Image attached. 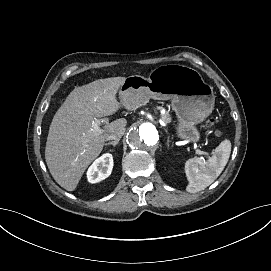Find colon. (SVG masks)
Masks as SVG:
<instances>
[{"label": "colon", "instance_id": "1", "mask_svg": "<svg viewBox=\"0 0 271 271\" xmlns=\"http://www.w3.org/2000/svg\"><path fill=\"white\" fill-rule=\"evenodd\" d=\"M207 125H208L209 128H211L215 132V134H217V135L219 134V132L216 130V128H215L212 121H208Z\"/></svg>", "mask_w": 271, "mask_h": 271}]
</instances>
